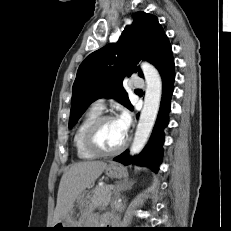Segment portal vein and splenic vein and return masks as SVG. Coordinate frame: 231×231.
<instances>
[{
    "mask_svg": "<svg viewBox=\"0 0 231 231\" xmlns=\"http://www.w3.org/2000/svg\"><path fill=\"white\" fill-rule=\"evenodd\" d=\"M109 189H110V190H113V189H114V186H109Z\"/></svg>",
    "mask_w": 231,
    "mask_h": 231,
    "instance_id": "18ae733b",
    "label": "portal vein and splenic vein"
}]
</instances>
